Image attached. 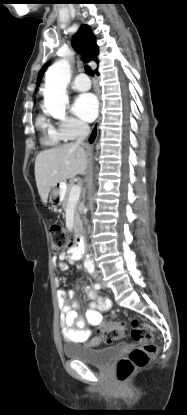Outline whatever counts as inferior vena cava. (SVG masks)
Masks as SVG:
<instances>
[{
  "instance_id": "1",
  "label": "inferior vena cava",
  "mask_w": 187,
  "mask_h": 415,
  "mask_svg": "<svg viewBox=\"0 0 187 415\" xmlns=\"http://www.w3.org/2000/svg\"><path fill=\"white\" fill-rule=\"evenodd\" d=\"M90 133V127L86 123H79L78 125V137L76 139V145H83L84 140Z\"/></svg>"
}]
</instances>
